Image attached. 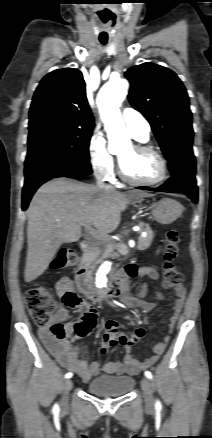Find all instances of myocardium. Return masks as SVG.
I'll list each match as a JSON object with an SVG mask.
<instances>
[{
  "instance_id": "obj_1",
  "label": "myocardium",
  "mask_w": 212,
  "mask_h": 438,
  "mask_svg": "<svg viewBox=\"0 0 212 438\" xmlns=\"http://www.w3.org/2000/svg\"><path fill=\"white\" fill-rule=\"evenodd\" d=\"M133 149L137 152H144V153H149L154 155L158 160H159V164H160V175L158 176V178L152 180V181H138L135 179H132L131 177H129L126 172L123 169L122 166V162L120 160L119 162V175L121 177V179L131 185H135V186H142V187H149V186H154L157 184L162 183L168 174V165L166 162V159L164 158V156L157 151L156 149H154L151 146L148 145H144V144H134Z\"/></svg>"
}]
</instances>
